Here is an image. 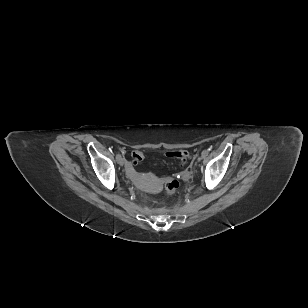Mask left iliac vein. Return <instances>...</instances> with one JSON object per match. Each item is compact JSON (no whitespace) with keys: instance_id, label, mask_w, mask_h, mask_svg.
I'll use <instances>...</instances> for the list:
<instances>
[{"instance_id":"obj_1","label":"left iliac vein","mask_w":308,"mask_h":308,"mask_svg":"<svg viewBox=\"0 0 308 308\" xmlns=\"http://www.w3.org/2000/svg\"><path fill=\"white\" fill-rule=\"evenodd\" d=\"M204 156H205V155L202 154V155L198 158V160L200 161Z\"/></svg>"}]
</instances>
